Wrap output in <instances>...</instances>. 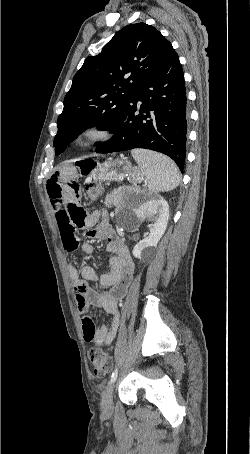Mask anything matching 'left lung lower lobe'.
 I'll use <instances>...</instances> for the list:
<instances>
[{"mask_svg":"<svg viewBox=\"0 0 250 454\" xmlns=\"http://www.w3.org/2000/svg\"><path fill=\"white\" fill-rule=\"evenodd\" d=\"M186 107L183 70L174 50L138 88L112 131V138L100 143L95 151L111 153L134 148L150 149L171 157L183 172L188 117Z\"/></svg>","mask_w":250,"mask_h":454,"instance_id":"1","label":"left lung lower lobe"}]
</instances>
